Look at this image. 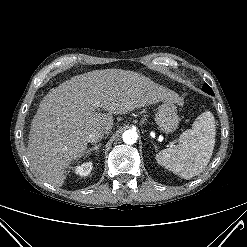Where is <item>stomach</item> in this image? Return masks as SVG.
Here are the masks:
<instances>
[{
    "instance_id": "1",
    "label": "stomach",
    "mask_w": 247,
    "mask_h": 247,
    "mask_svg": "<svg viewBox=\"0 0 247 247\" xmlns=\"http://www.w3.org/2000/svg\"><path fill=\"white\" fill-rule=\"evenodd\" d=\"M155 122L162 132L170 133L175 131L179 125L176 106L172 102L164 101L158 108Z\"/></svg>"
}]
</instances>
